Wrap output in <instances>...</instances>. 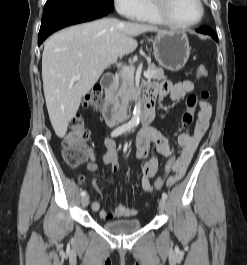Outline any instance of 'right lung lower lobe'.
<instances>
[{"instance_id": "obj_1", "label": "right lung lower lobe", "mask_w": 247, "mask_h": 265, "mask_svg": "<svg viewBox=\"0 0 247 265\" xmlns=\"http://www.w3.org/2000/svg\"><path fill=\"white\" fill-rule=\"evenodd\" d=\"M113 9V3L104 0H47L38 45L61 28L103 17Z\"/></svg>"}]
</instances>
